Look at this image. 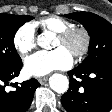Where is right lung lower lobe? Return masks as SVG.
<instances>
[{
  "label": "right lung lower lobe",
  "instance_id": "98d812e1",
  "mask_svg": "<svg viewBox=\"0 0 112 112\" xmlns=\"http://www.w3.org/2000/svg\"><path fill=\"white\" fill-rule=\"evenodd\" d=\"M22 68V61H18L0 73V112H26L30 107L34 92L40 86L36 79L10 84V80L17 77ZM12 85L14 90L5 89L7 85Z\"/></svg>",
  "mask_w": 112,
  "mask_h": 112
}]
</instances>
